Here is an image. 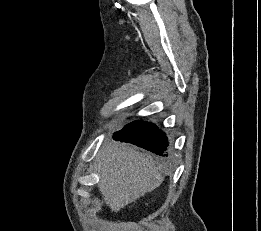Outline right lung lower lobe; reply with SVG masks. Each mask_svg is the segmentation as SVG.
<instances>
[{
	"mask_svg": "<svg viewBox=\"0 0 261 231\" xmlns=\"http://www.w3.org/2000/svg\"><path fill=\"white\" fill-rule=\"evenodd\" d=\"M113 138L121 142H128L157 155L166 157L167 137L155 124L143 121H134L114 133Z\"/></svg>",
	"mask_w": 261,
	"mask_h": 231,
	"instance_id": "1",
	"label": "right lung lower lobe"
}]
</instances>
